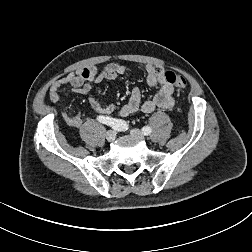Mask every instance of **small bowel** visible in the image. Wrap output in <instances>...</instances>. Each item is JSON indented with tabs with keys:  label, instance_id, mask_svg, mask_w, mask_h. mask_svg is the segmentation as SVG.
Returning a JSON list of instances; mask_svg holds the SVG:
<instances>
[{
	"label": "small bowel",
	"instance_id": "obj_1",
	"mask_svg": "<svg viewBox=\"0 0 252 252\" xmlns=\"http://www.w3.org/2000/svg\"><path fill=\"white\" fill-rule=\"evenodd\" d=\"M146 72V81L150 87H157V93L151 98L142 102L141 91L135 86L130 94L128 105H136L138 110L143 113H152L157 108L168 109L174 103V87L165 79V71L161 66L147 64L144 67ZM127 68L120 63H110L101 72L95 67L83 68L75 73L57 80L49 89V100L52 102L61 101V90L64 86L69 85L70 90L66 94H79L87 97L90 107L99 114V116L108 117L112 114L109 108L100 104V102L91 95L93 84H98L103 80H114L119 76L126 74ZM119 117H126L127 114H116ZM64 121L73 127H79L83 123L81 113L66 114L62 113Z\"/></svg>",
	"mask_w": 252,
	"mask_h": 252
}]
</instances>
